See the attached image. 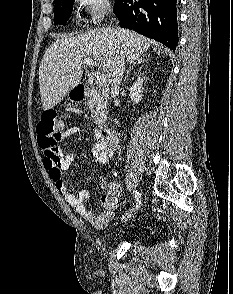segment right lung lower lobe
<instances>
[{
	"label": "right lung lower lobe",
	"mask_w": 233,
	"mask_h": 294,
	"mask_svg": "<svg viewBox=\"0 0 233 294\" xmlns=\"http://www.w3.org/2000/svg\"><path fill=\"white\" fill-rule=\"evenodd\" d=\"M177 0H115L114 13L123 28L159 41L171 50L178 43Z\"/></svg>",
	"instance_id": "right-lung-lower-lobe-1"
}]
</instances>
